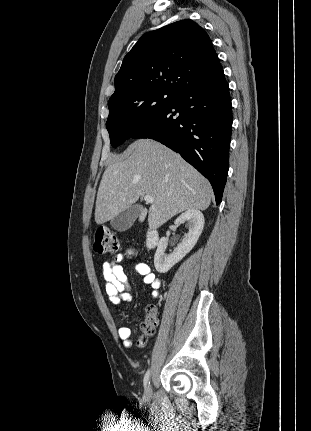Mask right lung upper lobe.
I'll return each mask as SVG.
<instances>
[{
	"label": "right lung upper lobe",
	"instance_id": "1",
	"mask_svg": "<svg viewBox=\"0 0 311 431\" xmlns=\"http://www.w3.org/2000/svg\"><path fill=\"white\" fill-rule=\"evenodd\" d=\"M222 71L206 31L192 20H181L138 40L115 76L110 99L148 90L179 94Z\"/></svg>",
	"mask_w": 311,
	"mask_h": 431
}]
</instances>
